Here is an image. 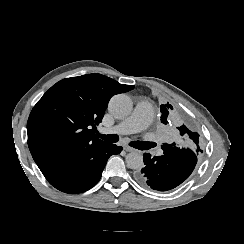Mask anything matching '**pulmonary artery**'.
Returning <instances> with one entry per match:
<instances>
[{
  "label": "pulmonary artery",
  "mask_w": 244,
  "mask_h": 244,
  "mask_svg": "<svg viewBox=\"0 0 244 244\" xmlns=\"http://www.w3.org/2000/svg\"><path fill=\"white\" fill-rule=\"evenodd\" d=\"M135 112L123 122V126L113 125L110 128L111 134L125 133L135 134L142 128L151 124L154 117V108L148 100H140L135 105Z\"/></svg>",
  "instance_id": "e3ab8cb5"
}]
</instances>
